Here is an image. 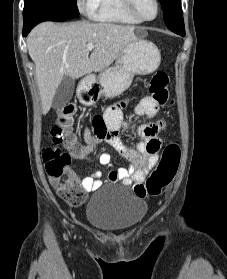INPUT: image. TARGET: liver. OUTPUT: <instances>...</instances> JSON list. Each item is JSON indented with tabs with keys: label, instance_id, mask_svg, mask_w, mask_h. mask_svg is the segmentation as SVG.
<instances>
[{
	"label": "liver",
	"instance_id": "liver-1",
	"mask_svg": "<svg viewBox=\"0 0 227 279\" xmlns=\"http://www.w3.org/2000/svg\"><path fill=\"white\" fill-rule=\"evenodd\" d=\"M135 29L130 25L88 21L37 25L27 37V48L35 63L42 113L49 112L64 76L78 79L107 69L122 49L136 39ZM88 44L94 45L90 56Z\"/></svg>",
	"mask_w": 227,
	"mask_h": 279
}]
</instances>
